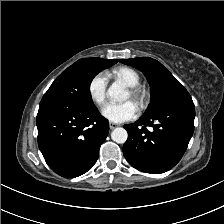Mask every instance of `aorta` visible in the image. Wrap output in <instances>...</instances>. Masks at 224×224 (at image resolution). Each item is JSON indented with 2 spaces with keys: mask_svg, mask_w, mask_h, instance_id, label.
I'll use <instances>...</instances> for the list:
<instances>
[{
  "mask_svg": "<svg viewBox=\"0 0 224 224\" xmlns=\"http://www.w3.org/2000/svg\"><path fill=\"white\" fill-rule=\"evenodd\" d=\"M107 95L110 99L116 101H125L128 97L124 86L121 83H113L107 91ZM111 138L114 142L123 144L128 138V133L124 128L117 127L111 133Z\"/></svg>",
  "mask_w": 224,
  "mask_h": 224,
  "instance_id": "obj_1",
  "label": "aorta"
}]
</instances>
